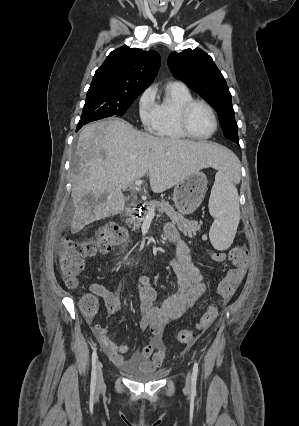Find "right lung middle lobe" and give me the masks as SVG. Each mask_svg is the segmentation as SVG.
I'll list each match as a JSON object with an SVG mask.
<instances>
[{"mask_svg": "<svg viewBox=\"0 0 299 426\" xmlns=\"http://www.w3.org/2000/svg\"><path fill=\"white\" fill-rule=\"evenodd\" d=\"M141 93L90 86L79 123H88L112 115L122 116Z\"/></svg>", "mask_w": 299, "mask_h": 426, "instance_id": "right-lung-middle-lobe-1", "label": "right lung middle lobe"}]
</instances>
